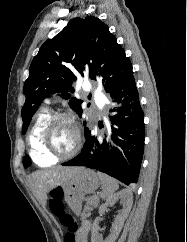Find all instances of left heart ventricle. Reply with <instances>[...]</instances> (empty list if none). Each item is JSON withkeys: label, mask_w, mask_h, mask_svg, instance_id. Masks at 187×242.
<instances>
[{"label": "left heart ventricle", "mask_w": 187, "mask_h": 242, "mask_svg": "<svg viewBox=\"0 0 187 242\" xmlns=\"http://www.w3.org/2000/svg\"><path fill=\"white\" fill-rule=\"evenodd\" d=\"M76 135L71 124L61 121L52 129L49 136V146L56 153H67L75 145Z\"/></svg>", "instance_id": "obj_1"}]
</instances>
